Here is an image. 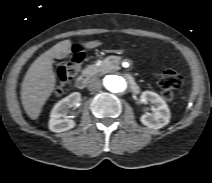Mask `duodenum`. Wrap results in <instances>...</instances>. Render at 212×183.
Returning <instances> with one entry per match:
<instances>
[{
	"instance_id": "410a0bca",
	"label": "duodenum",
	"mask_w": 212,
	"mask_h": 183,
	"mask_svg": "<svg viewBox=\"0 0 212 183\" xmlns=\"http://www.w3.org/2000/svg\"><path fill=\"white\" fill-rule=\"evenodd\" d=\"M90 76H91V72H89V71L82 73L76 79V82H75L76 87L79 88V89H83L86 86Z\"/></svg>"
}]
</instances>
